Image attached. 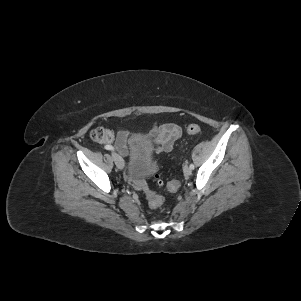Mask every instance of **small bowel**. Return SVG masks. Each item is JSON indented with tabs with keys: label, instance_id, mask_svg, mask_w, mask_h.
Masks as SVG:
<instances>
[{
	"label": "small bowel",
	"instance_id": "1",
	"mask_svg": "<svg viewBox=\"0 0 301 301\" xmlns=\"http://www.w3.org/2000/svg\"><path fill=\"white\" fill-rule=\"evenodd\" d=\"M158 152H170L175 142L182 135V128L174 123H161L153 126L149 133ZM129 135L125 131H121L116 140V148L122 153L127 154V139Z\"/></svg>",
	"mask_w": 301,
	"mask_h": 301
}]
</instances>
